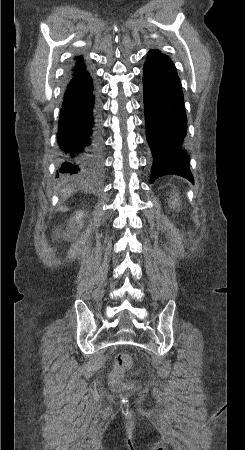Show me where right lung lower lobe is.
Returning a JSON list of instances; mask_svg holds the SVG:
<instances>
[{
	"instance_id": "right-lung-lower-lobe-1",
	"label": "right lung lower lobe",
	"mask_w": 245,
	"mask_h": 450,
	"mask_svg": "<svg viewBox=\"0 0 245 450\" xmlns=\"http://www.w3.org/2000/svg\"><path fill=\"white\" fill-rule=\"evenodd\" d=\"M99 103L92 79L83 69L70 75L59 118L61 173L93 175L102 169Z\"/></svg>"
}]
</instances>
